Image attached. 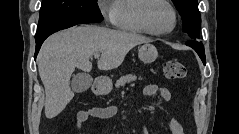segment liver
<instances>
[{
  "instance_id": "6515ba94",
  "label": "liver",
  "mask_w": 239,
  "mask_h": 134,
  "mask_svg": "<svg viewBox=\"0 0 239 134\" xmlns=\"http://www.w3.org/2000/svg\"><path fill=\"white\" fill-rule=\"evenodd\" d=\"M151 40L140 34L98 26H79L50 36L38 55V71L45 88V116L60 114L73 99L70 78L78 68L90 72V59L101 53L100 70L119 67L126 54L135 46Z\"/></svg>"
}]
</instances>
